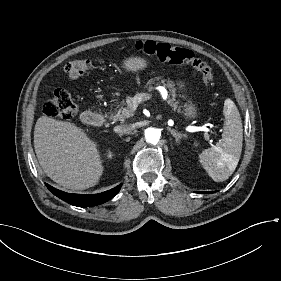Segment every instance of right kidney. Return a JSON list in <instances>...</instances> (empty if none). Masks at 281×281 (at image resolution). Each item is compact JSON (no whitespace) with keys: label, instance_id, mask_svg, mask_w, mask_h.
Segmentation results:
<instances>
[{"label":"right kidney","instance_id":"1","mask_svg":"<svg viewBox=\"0 0 281 281\" xmlns=\"http://www.w3.org/2000/svg\"><path fill=\"white\" fill-rule=\"evenodd\" d=\"M106 157L109 159V158H112V153H111V151H107L106 152Z\"/></svg>","mask_w":281,"mask_h":281}]
</instances>
